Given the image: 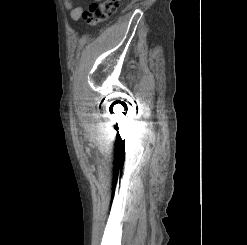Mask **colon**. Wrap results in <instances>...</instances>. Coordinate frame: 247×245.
<instances>
[{"label":"colon","mask_w":247,"mask_h":245,"mask_svg":"<svg viewBox=\"0 0 247 245\" xmlns=\"http://www.w3.org/2000/svg\"><path fill=\"white\" fill-rule=\"evenodd\" d=\"M117 6L118 0H101L91 4L85 13L86 23L93 26L107 21L115 13Z\"/></svg>","instance_id":"colon-1"}]
</instances>
